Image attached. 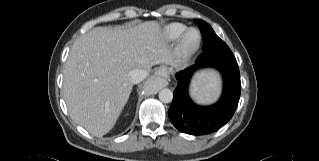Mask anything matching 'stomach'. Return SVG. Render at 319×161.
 I'll use <instances>...</instances> for the list:
<instances>
[{
	"label": "stomach",
	"instance_id": "stomach-1",
	"mask_svg": "<svg viewBox=\"0 0 319 161\" xmlns=\"http://www.w3.org/2000/svg\"><path fill=\"white\" fill-rule=\"evenodd\" d=\"M161 71H162V73H164V74L167 73V69H165V68H162Z\"/></svg>",
	"mask_w": 319,
	"mask_h": 161
}]
</instances>
